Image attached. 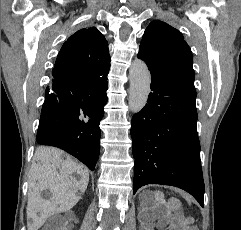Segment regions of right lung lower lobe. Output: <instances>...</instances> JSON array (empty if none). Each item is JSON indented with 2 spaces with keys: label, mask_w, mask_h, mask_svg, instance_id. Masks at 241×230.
Masks as SVG:
<instances>
[{
  "label": "right lung lower lobe",
  "mask_w": 241,
  "mask_h": 230,
  "mask_svg": "<svg viewBox=\"0 0 241 230\" xmlns=\"http://www.w3.org/2000/svg\"><path fill=\"white\" fill-rule=\"evenodd\" d=\"M107 86V77L54 74L45 91L37 142L61 148L94 170Z\"/></svg>",
  "instance_id": "1"
}]
</instances>
